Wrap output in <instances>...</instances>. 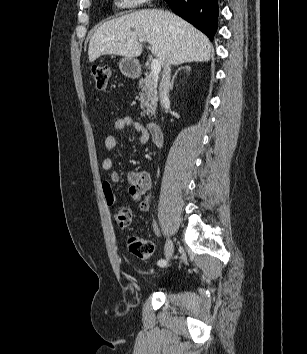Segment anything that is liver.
I'll return each mask as SVG.
<instances>
[{
  "instance_id": "1",
  "label": "liver",
  "mask_w": 307,
  "mask_h": 354,
  "mask_svg": "<svg viewBox=\"0 0 307 354\" xmlns=\"http://www.w3.org/2000/svg\"><path fill=\"white\" fill-rule=\"evenodd\" d=\"M139 39L151 45L162 66L166 61L173 65L206 62L212 55L209 39L191 24L169 11L145 9L101 25L91 37L89 61L102 55L138 57L143 50Z\"/></svg>"
}]
</instances>
